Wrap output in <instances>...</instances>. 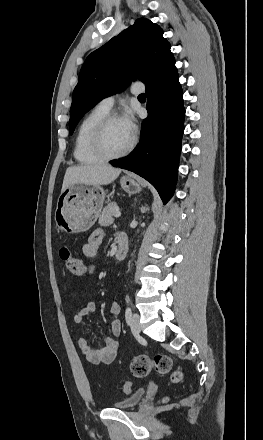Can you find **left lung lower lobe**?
I'll return each instance as SVG.
<instances>
[{
    "instance_id": "left-lung-lower-lobe-1",
    "label": "left lung lower lobe",
    "mask_w": 263,
    "mask_h": 440,
    "mask_svg": "<svg viewBox=\"0 0 263 440\" xmlns=\"http://www.w3.org/2000/svg\"><path fill=\"white\" fill-rule=\"evenodd\" d=\"M145 86L148 117L140 143L130 155L110 164L148 180L166 204L176 185L185 117L175 61L161 67Z\"/></svg>"
}]
</instances>
